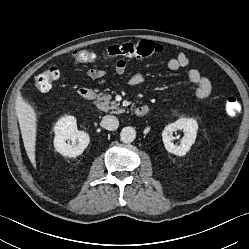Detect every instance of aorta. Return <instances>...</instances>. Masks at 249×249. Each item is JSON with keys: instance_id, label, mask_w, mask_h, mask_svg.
Segmentation results:
<instances>
[{"instance_id": "obj_1", "label": "aorta", "mask_w": 249, "mask_h": 249, "mask_svg": "<svg viewBox=\"0 0 249 249\" xmlns=\"http://www.w3.org/2000/svg\"><path fill=\"white\" fill-rule=\"evenodd\" d=\"M136 137V131L133 127H124L120 132V139L124 143H131Z\"/></svg>"}]
</instances>
